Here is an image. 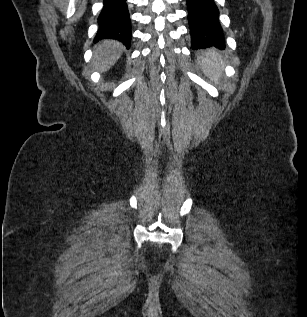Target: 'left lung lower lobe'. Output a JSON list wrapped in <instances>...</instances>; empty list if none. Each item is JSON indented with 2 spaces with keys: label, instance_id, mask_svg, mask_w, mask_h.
<instances>
[{
  "label": "left lung lower lobe",
  "instance_id": "0a47b994",
  "mask_svg": "<svg viewBox=\"0 0 307 317\" xmlns=\"http://www.w3.org/2000/svg\"><path fill=\"white\" fill-rule=\"evenodd\" d=\"M188 20L193 50L225 48L219 10L214 0H187Z\"/></svg>",
  "mask_w": 307,
  "mask_h": 317
}]
</instances>
